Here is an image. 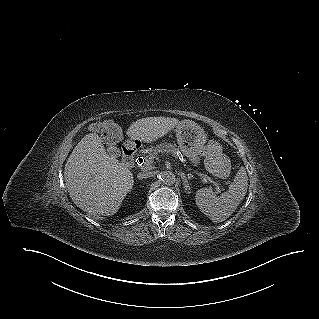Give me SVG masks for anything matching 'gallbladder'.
<instances>
[{"label":"gallbladder","mask_w":319,"mask_h":319,"mask_svg":"<svg viewBox=\"0 0 319 319\" xmlns=\"http://www.w3.org/2000/svg\"><path fill=\"white\" fill-rule=\"evenodd\" d=\"M109 152H110V154H117V148L111 146L109 148Z\"/></svg>","instance_id":"1"}]
</instances>
